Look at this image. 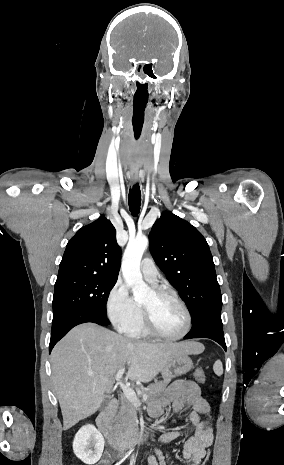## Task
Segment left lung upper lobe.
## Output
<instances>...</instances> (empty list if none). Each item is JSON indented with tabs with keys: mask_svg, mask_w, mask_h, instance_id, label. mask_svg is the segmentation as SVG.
I'll return each mask as SVG.
<instances>
[{
	"mask_svg": "<svg viewBox=\"0 0 284 465\" xmlns=\"http://www.w3.org/2000/svg\"><path fill=\"white\" fill-rule=\"evenodd\" d=\"M149 240L156 264L187 303L192 324L209 313H221L215 265L203 235L189 222L164 211Z\"/></svg>",
	"mask_w": 284,
	"mask_h": 465,
	"instance_id": "5c2ea615",
	"label": "left lung upper lobe"
}]
</instances>
